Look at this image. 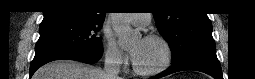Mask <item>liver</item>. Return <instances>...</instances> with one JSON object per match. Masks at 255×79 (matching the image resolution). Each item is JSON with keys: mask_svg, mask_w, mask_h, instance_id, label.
Returning a JSON list of instances; mask_svg holds the SVG:
<instances>
[{"mask_svg": "<svg viewBox=\"0 0 255 79\" xmlns=\"http://www.w3.org/2000/svg\"><path fill=\"white\" fill-rule=\"evenodd\" d=\"M33 79H106L100 68L74 60H56L39 68Z\"/></svg>", "mask_w": 255, "mask_h": 79, "instance_id": "liver-1", "label": "liver"}]
</instances>
